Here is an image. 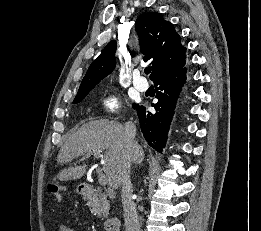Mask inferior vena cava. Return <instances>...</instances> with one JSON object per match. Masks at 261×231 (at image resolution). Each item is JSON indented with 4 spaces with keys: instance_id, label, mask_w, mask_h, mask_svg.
<instances>
[{
    "instance_id": "obj_1",
    "label": "inferior vena cava",
    "mask_w": 261,
    "mask_h": 231,
    "mask_svg": "<svg viewBox=\"0 0 261 231\" xmlns=\"http://www.w3.org/2000/svg\"><path fill=\"white\" fill-rule=\"evenodd\" d=\"M125 141L129 147L131 160L139 161L143 152L139 144L135 141L136 126L132 122H126L125 126ZM132 183L130 179V166L126 167L122 174V205L125 219L127 220L129 231H140L139 218L136 210V205L132 199Z\"/></svg>"
}]
</instances>
